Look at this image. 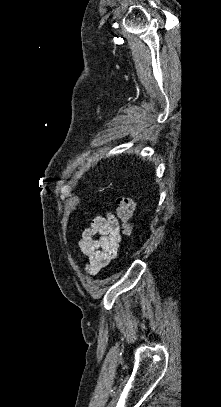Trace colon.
<instances>
[{
	"label": "colon",
	"mask_w": 221,
	"mask_h": 407,
	"mask_svg": "<svg viewBox=\"0 0 221 407\" xmlns=\"http://www.w3.org/2000/svg\"><path fill=\"white\" fill-rule=\"evenodd\" d=\"M117 214L122 221V232L125 236L133 234V226L131 219L135 211V202L125 196H121L117 199Z\"/></svg>",
	"instance_id": "colon-1"
}]
</instances>
